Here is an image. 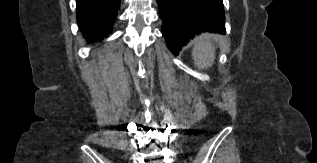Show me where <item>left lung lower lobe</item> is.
Instances as JSON below:
<instances>
[{"mask_svg":"<svg viewBox=\"0 0 317 163\" xmlns=\"http://www.w3.org/2000/svg\"><path fill=\"white\" fill-rule=\"evenodd\" d=\"M162 34L170 51L178 55L182 46L205 31L225 34L222 0H157Z\"/></svg>","mask_w":317,"mask_h":163,"instance_id":"left-lung-lower-lobe-1","label":"left lung lower lobe"}]
</instances>
